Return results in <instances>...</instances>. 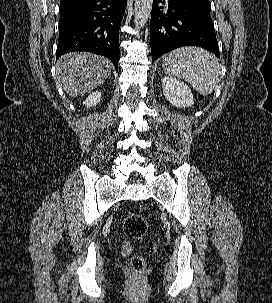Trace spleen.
<instances>
[{"mask_svg":"<svg viewBox=\"0 0 272 303\" xmlns=\"http://www.w3.org/2000/svg\"><path fill=\"white\" fill-rule=\"evenodd\" d=\"M162 67L166 74L190 83L202 96L211 94L221 77L217 57L199 47H183L167 53Z\"/></svg>","mask_w":272,"mask_h":303,"instance_id":"3e777b00","label":"spleen"}]
</instances>
